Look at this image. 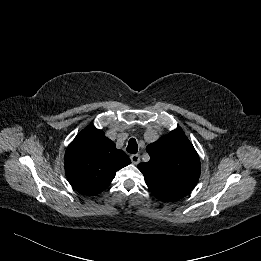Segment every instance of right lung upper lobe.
I'll return each instance as SVG.
<instances>
[{"label":"right lung upper lobe","instance_id":"cb5924a9","mask_svg":"<svg viewBox=\"0 0 261 261\" xmlns=\"http://www.w3.org/2000/svg\"><path fill=\"white\" fill-rule=\"evenodd\" d=\"M127 154L118 150L102 130L90 126L82 130L65 153V172L69 183L79 192H102L116 172L130 164Z\"/></svg>","mask_w":261,"mask_h":261}]
</instances>
